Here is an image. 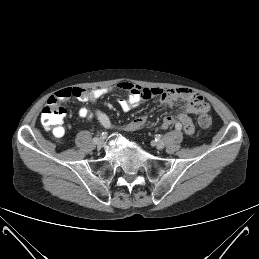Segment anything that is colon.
Listing matches in <instances>:
<instances>
[{"label": "colon", "mask_w": 259, "mask_h": 259, "mask_svg": "<svg viewBox=\"0 0 259 259\" xmlns=\"http://www.w3.org/2000/svg\"><path fill=\"white\" fill-rule=\"evenodd\" d=\"M66 109L59 104V100L50 98L46 106L42 109L41 123L44 128L53 133L56 137L63 135L62 121ZM212 123V118L208 111H203L198 116V124L202 128H208Z\"/></svg>", "instance_id": "colon-1"}]
</instances>
